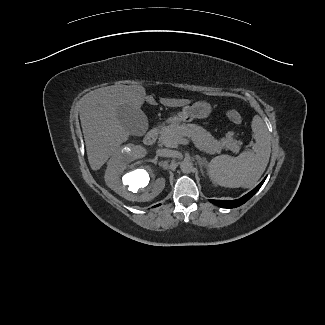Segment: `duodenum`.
I'll use <instances>...</instances> for the list:
<instances>
[{
	"instance_id": "410a0bca",
	"label": "duodenum",
	"mask_w": 325,
	"mask_h": 325,
	"mask_svg": "<svg viewBox=\"0 0 325 325\" xmlns=\"http://www.w3.org/2000/svg\"><path fill=\"white\" fill-rule=\"evenodd\" d=\"M158 134H159L158 127L151 129L143 138L144 144L147 146L152 145L156 141Z\"/></svg>"
}]
</instances>
